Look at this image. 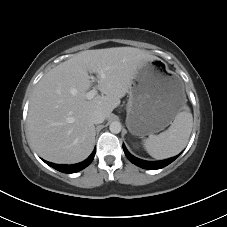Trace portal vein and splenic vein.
<instances>
[{
    "label": "portal vein and splenic vein",
    "instance_id": "obj_1",
    "mask_svg": "<svg viewBox=\"0 0 227 227\" xmlns=\"http://www.w3.org/2000/svg\"><path fill=\"white\" fill-rule=\"evenodd\" d=\"M102 76H103V74H102ZM91 79H92V81H95V77L91 76ZM96 95H97V89L96 88H93L92 90H90L89 92H87L86 98L90 100V99H92Z\"/></svg>",
    "mask_w": 227,
    "mask_h": 227
}]
</instances>
